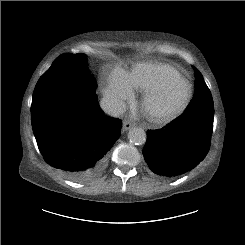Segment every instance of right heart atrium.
<instances>
[{
	"label": "right heart atrium",
	"instance_id": "right-heart-atrium-1",
	"mask_svg": "<svg viewBox=\"0 0 245 245\" xmlns=\"http://www.w3.org/2000/svg\"><path fill=\"white\" fill-rule=\"evenodd\" d=\"M103 90L105 96L120 108L126 100L133 96L132 87L128 76L124 70L119 67L113 68L105 77Z\"/></svg>",
	"mask_w": 245,
	"mask_h": 245
}]
</instances>
